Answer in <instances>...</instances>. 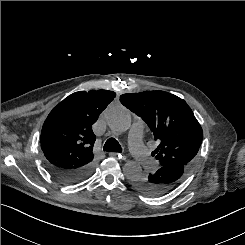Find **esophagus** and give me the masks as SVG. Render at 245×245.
<instances>
[{
	"label": "esophagus",
	"instance_id": "34e87169",
	"mask_svg": "<svg viewBox=\"0 0 245 245\" xmlns=\"http://www.w3.org/2000/svg\"><path fill=\"white\" fill-rule=\"evenodd\" d=\"M109 155L111 157H118L121 160H126V157L124 155H121L120 153L110 152Z\"/></svg>",
	"mask_w": 245,
	"mask_h": 245
}]
</instances>
